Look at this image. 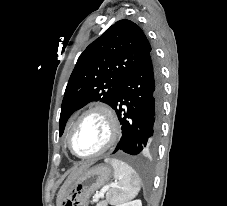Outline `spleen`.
Wrapping results in <instances>:
<instances>
[{
  "mask_svg": "<svg viewBox=\"0 0 227 206\" xmlns=\"http://www.w3.org/2000/svg\"><path fill=\"white\" fill-rule=\"evenodd\" d=\"M107 162L114 168V178L119 181L108 195L110 204L117 206L136 197L141 187L136 171L118 159H109Z\"/></svg>",
  "mask_w": 227,
  "mask_h": 206,
  "instance_id": "spleen-1",
  "label": "spleen"
}]
</instances>
